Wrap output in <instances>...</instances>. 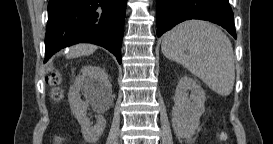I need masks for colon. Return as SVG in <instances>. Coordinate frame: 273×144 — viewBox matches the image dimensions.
Returning <instances> with one entry per match:
<instances>
[{"instance_id":"5ec220e1","label":"colon","mask_w":273,"mask_h":144,"mask_svg":"<svg viewBox=\"0 0 273 144\" xmlns=\"http://www.w3.org/2000/svg\"><path fill=\"white\" fill-rule=\"evenodd\" d=\"M49 82L54 87L52 96L54 99H60L62 97V91L59 87L61 81V74L58 70L53 69L48 74Z\"/></svg>"}]
</instances>
